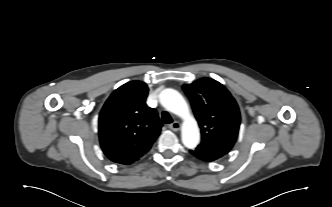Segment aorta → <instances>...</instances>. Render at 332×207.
Segmentation results:
<instances>
[{
	"mask_svg": "<svg viewBox=\"0 0 332 207\" xmlns=\"http://www.w3.org/2000/svg\"><path fill=\"white\" fill-rule=\"evenodd\" d=\"M160 103L168 111L183 119L182 143L194 149L200 141V132L195 118L191 115L188 104L183 96L174 89H164L159 95Z\"/></svg>",
	"mask_w": 332,
	"mask_h": 207,
	"instance_id": "762f6f07",
	"label": "aorta"
}]
</instances>
